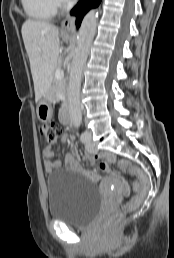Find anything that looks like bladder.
I'll return each instance as SVG.
<instances>
[{
	"label": "bladder",
	"instance_id": "1",
	"mask_svg": "<svg viewBox=\"0 0 174 258\" xmlns=\"http://www.w3.org/2000/svg\"><path fill=\"white\" fill-rule=\"evenodd\" d=\"M48 213L66 224L84 227L100 212L102 195L80 171H58L48 181Z\"/></svg>",
	"mask_w": 174,
	"mask_h": 258
}]
</instances>
